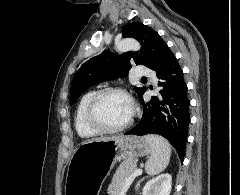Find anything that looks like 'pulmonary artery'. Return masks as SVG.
<instances>
[{"mask_svg": "<svg viewBox=\"0 0 240 195\" xmlns=\"http://www.w3.org/2000/svg\"><path fill=\"white\" fill-rule=\"evenodd\" d=\"M136 70H139V71H135L134 72V75L135 76H149V69H146L145 66L143 65H136Z\"/></svg>", "mask_w": 240, "mask_h": 195, "instance_id": "pulmonary-artery-1", "label": "pulmonary artery"}]
</instances>
